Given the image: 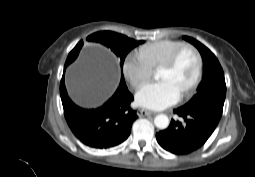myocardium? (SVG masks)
<instances>
[{
    "instance_id": "myocardium-1",
    "label": "myocardium",
    "mask_w": 255,
    "mask_h": 177,
    "mask_svg": "<svg viewBox=\"0 0 255 177\" xmlns=\"http://www.w3.org/2000/svg\"><path fill=\"white\" fill-rule=\"evenodd\" d=\"M186 50H191L196 58H197V71H196V75L194 77V80L192 81V83L182 92V95H188L191 92H193L196 87L198 86V84L200 83V80L202 78V74H203V58L202 55L200 53V51L193 45L191 44H184L182 45L180 48H178L173 55L166 61L164 62L160 68H165V69H172L174 68L181 55L186 51Z\"/></svg>"
}]
</instances>
